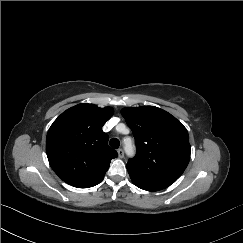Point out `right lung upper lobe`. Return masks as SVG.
I'll list each match as a JSON object with an SVG mask.
<instances>
[{"label":"right lung upper lobe","mask_w":243,"mask_h":243,"mask_svg":"<svg viewBox=\"0 0 243 243\" xmlns=\"http://www.w3.org/2000/svg\"><path fill=\"white\" fill-rule=\"evenodd\" d=\"M113 108L78 104L64 111L51 125L46 153L54 172L67 184L86 188L103 179L118 153L108 146L102 131Z\"/></svg>","instance_id":"obj_1"}]
</instances>
